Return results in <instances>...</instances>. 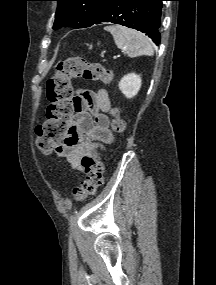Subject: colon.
<instances>
[{
    "instance_id": "5ec220e1",
    "label": "colon",
    "mask_w": 216,
    "mask_h": 285,
    "mask_svg": "<svg viewBox=\"0 0 216 285\" xmlns=\"http://www.w3.org/2000/svg\"><path fill=\"white\" fill-rule=\"evenodd\" d=\"M82 78L89 81L110 83L113 79L111 70L98 63H90L81 57H73L60 62L55 74L47 81L46 93L49 101L46 121L36 129V144L41 152L51 153L57 149L69 131L77 104L72 86V79ZM112 129L123 132L124 121L119 109L112 110ZM86 179L73 188L76 201H83L96 193L103 184V163L98 155H87L81 160Z\"/></svg>"
}]
</instances>
